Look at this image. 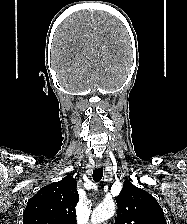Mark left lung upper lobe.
<instances>
[{
  "label": "left lung upper lobe",
  "instance_id": "obj_1",
  "mask_svg": "<svg viewBox=\"0 0 187 224\" xmlns=\"http://www.w3.org/2000/svg\"><path fill=\"white\" fill-rule=\"evenodd\" d=\"M118 213L115 224H166L164 213L157 200L130 180L123 184L116 197Z\"/></svg>",
  "mask_w": 187,
  "mask_h": 224
}]
</instances>
